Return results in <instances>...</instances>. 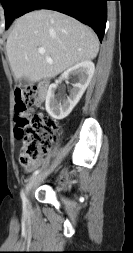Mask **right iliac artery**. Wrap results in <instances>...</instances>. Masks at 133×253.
Segmentation results:
<instances>
[{
	"mask_svg": "<svg viewBox=\"0 0 133 253\" xmlns=\"http://www.w3.org/2000/svg\"><path fill=\"white\" fill-rule=\"evenodd\" d=\"M40 171H41L40 169L34 171V173L31 175V177L29 178V180L32 179V178H34L35 176H37L40 173ZM21 198H22V201H23V206L25 208L27 206V199H26L24 190H22V192H21Z\"/></svg>",
	"mask_w": 133,
	"mask_h": 253,
	"instance_id": "1",
	"label": "right iliac artery"
}]
</instances>
